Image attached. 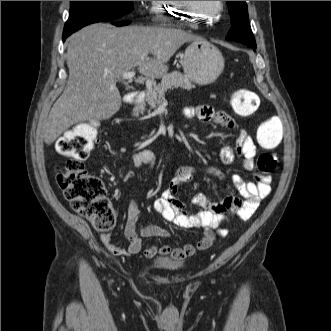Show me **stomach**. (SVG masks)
Returning a JSON list of instances; mask_svg holds the SVG:
<instances>
[{"label":"stomach","instance_id":"1","mask_svg":"<svg viewBox=\"0 0 331 331\" xmlns=\"http://www.w3.org/2000/svg\"><path fill=\"white\" fill-rule=\"evenodd\" d=\"M185 75L196 84L214 82L224 69V58L219 49L201 39L192 41L181 58Z\"/></svg>","mask_w":331,"mask_h":331}]
</instances>
